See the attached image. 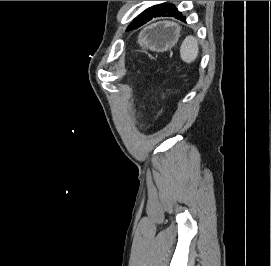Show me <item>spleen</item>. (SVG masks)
<instances>
[{
	"mask_svg": "<svg viewBox=\"0 0 271 266\" xmlns=\"http://www.w3.org/2000/svg\"><path fill=\"white\" fill-rule=\"evenodd\" d=\"M199 53L198 41L194 36H187L182 42L180 55L184 62L191 63L195 61Z\"/></svg>",
	"mask_w": 271,
	"mask_h": 266,
	"instance_id": "obj_1",
	"label": "spleen"
}]
</instances>
